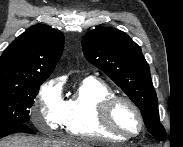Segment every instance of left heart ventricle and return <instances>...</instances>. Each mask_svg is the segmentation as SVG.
I'll return each instance as SVG.
<instances>
[{"label": "left heart ventricle", "mask_w": 183, "mask_h": 147, "mask_svg": "<svg viewBox=\"0 0 183 147\" xmlns=\"http://www.w3.org/2000/svg\"><path fill=\"white\" fill-rule=\"evenodd\" d=\"M112 120L122 132L135 134L139 131L140 123L134 110L123 102H118L112 110Z\"/></svg>", "instance_id": "1"}]
</instances>
